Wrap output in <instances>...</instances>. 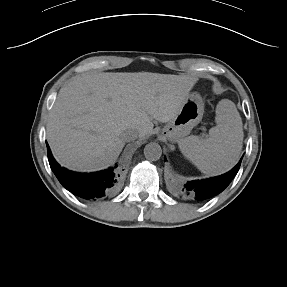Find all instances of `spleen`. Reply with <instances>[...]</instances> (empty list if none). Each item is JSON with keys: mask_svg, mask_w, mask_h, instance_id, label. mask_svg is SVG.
Returning <instances> with one entry per match:
<instances>
[{"mask_svg": "<svg viewBox=\"0 0 287 287\" xmlns=\"http://www.w3.org/2000/svg\"><path fill=\"white\" fill-rule=\"evenodd\" d=\"M217 125L206 137L191 135L178 142L181 153L201 172L219 175L239 160L243 144V124L233 102L221 100L216 107Z\"/></svg>", "mask_w": 287, "mask_h": 287, "instance_id": "3e777b00", "label": "spleen"}]
</instances>
